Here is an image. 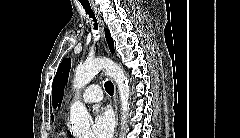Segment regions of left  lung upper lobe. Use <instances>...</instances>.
<instances>
[{
	"mask_svg": "<svg viewBox=\"0 0 240 138\" xmlns=\"http://www.w3.org/2000/svg\"><path fill=\"white\" fill-rule=\"evenodd\" d=\"M105 36H106V40L109 45L110 51L114 52V42L108 29H105ZM70 67H71V60L68 58L64 59L60 63L57 73L55 75V78L53 80L52 102H53L54 108L61 106L64 87L68 80Z\"/></svg>",
	"mask_w": 240,
	"mask_h": 138,
	"instance_id": "left-lung-upper-lobe-1",
	"label": "left lung upper lobe"
}]
</instances>
